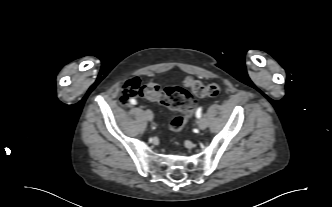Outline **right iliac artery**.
<instances>
[{"mask_svg": "<svg viewBox=\"0 0 332 207\" xmlns=\"http://www.w3.org/2000/svg\"><path fill=\"white\" fill-rule=\"evenodd\" d=\"M130 103L133 104V105H135L136 104V100L135 99H131Z\"/></svg>", "mask_w": 332, "mask_h": 207, "instance_id": "obj_1", "label": "right iliac artery"}]
</instances>
